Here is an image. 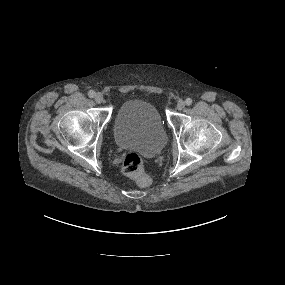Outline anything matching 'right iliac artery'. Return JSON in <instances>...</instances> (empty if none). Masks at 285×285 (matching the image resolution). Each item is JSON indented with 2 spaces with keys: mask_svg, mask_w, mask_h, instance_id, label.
I'll use <instances>...</instances> for the list:
<instances>
[{
  "mask_svg": "<svg viewBox=\"0 0 285 285\" xmlns=\"http://www.w3.org/2000/svg\"><path fill=\"white\" fill-rule=\"evenodd\" d=\"M88 96H89L90 98H93V97L95 96V92H94L93 90H90V91L88 92Z\"/></svg>",
  "mask_w": 285,
  "mask_h": 285,
  "instance_id": "obj_1",
  "label": "right iliac artery"
}]
</instances>
